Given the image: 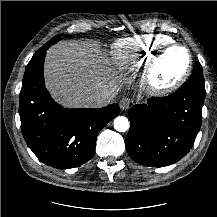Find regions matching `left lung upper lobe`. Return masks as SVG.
Instances as JSON below:
<instances>
[{
    "instance_id": "left-lung-upper-lobe-1",
    "label": "left lung upper lobe",
    "mask_w": 217,
    "mask_h": 217,
    "mask_svg": "<svg viewBox=\"0 0 217 217\" xmlns=\"http://www.w3.org/2000/svg\"><path fill=\"white\" fill-rule=\"evenodd\" d=\"M189 80L194 81L197 83V85L205 88L204 86V77H203V73H202V66L199 62L196 63V65L194 66L193 72L191 74V76L189 77Z\"/></svg>"
}]
</instances>
